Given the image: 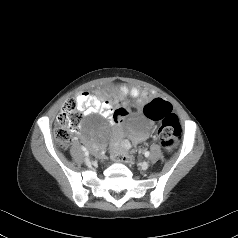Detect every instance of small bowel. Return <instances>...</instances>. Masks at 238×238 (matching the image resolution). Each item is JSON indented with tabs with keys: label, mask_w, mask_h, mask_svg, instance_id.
<instances>
[{
	"label": "small bowel",
	"mask_w": 238,
	"mask_h": 238,
	"mask_svg": "<svg viewBox=\"0 0 238 238\" xmlns=\"http://www.w3.org/2000/svg\"><path fill=\"white\" fill-rule=\"evenodd\" d=\"M129 93L133 96L137 95L136 90H130ZM76 101L80 110L83 112L84 116H89L91 114H101L103 117H109L112 110V104L106 99H102L95 93L81 92L76 96ZM143 136H138L133 139V142H139L143 139ZM131 145V140L127 138H122L118 142V146L124 149H128Z\"/></svg>",
	"instance_id": "small-bowel-1"
}]
</instances>
